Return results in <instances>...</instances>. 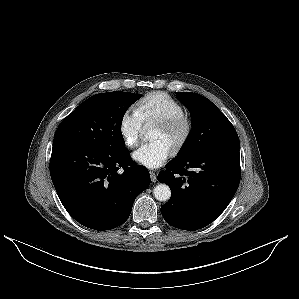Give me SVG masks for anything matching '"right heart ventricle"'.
<instances>
[{"instance_id":"right-heart-ventricle-1","label":"right heart ventricle","mask_w":299,"mask_h":299,"mask_svg":"<svg viewBox=\"0 0 299 299\" xmlns=\"http://www.w3.org/2000/svg\"><path fill=\"white\" fill-rule=\"evenodd\" d=\"M136 110L145 126L185 115L184 107L164 92H152L145 95L138 102Z\"/></svg>"}]
</instances>
